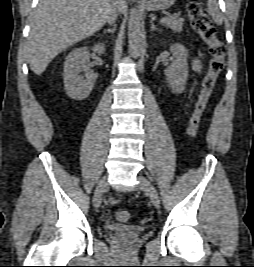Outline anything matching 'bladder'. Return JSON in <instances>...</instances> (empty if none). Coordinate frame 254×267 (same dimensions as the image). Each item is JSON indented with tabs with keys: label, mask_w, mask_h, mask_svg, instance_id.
<instances>
[{
	"label": "bladder",
	"mask_w": 254,
	"mask_h": 267,
	"mask_svg": "<svg viewBox=\"0 0 254 267\" xmlns=\"http://www.w3.org/2000/svg\"><path fill=\"white\" fill-rule=\"evenodd\" d=\"M105 229L109 233H116V234L141 233L144 230L142 227L139 226H125L120 224H108L106 225Z\"/></svg>",
	"instance_id": "1"
}]
</instances>
